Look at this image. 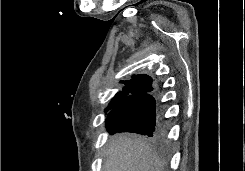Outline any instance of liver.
Instances as JSON below:
<instances>
[{
	"instance_id": "liver-1",
	"label": "liver",
	"mask_w": 245,
	"mask_h": 171,
	"mask_svg": "<svg viewBox=\"0 0 245 171\" xmlns=\"http://www.w3.org/2000/svg\"><path fill=\"white\" fill-rule=\"evenodd\" d=\"M165 162L143 136L122 135L111 140L103 171H164Z\"/></svg>"
}]
</instances>
